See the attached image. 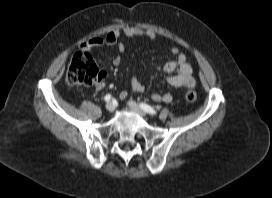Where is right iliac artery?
I'll return each mask as SVG.
<instances>
[{"mask_svg":"<svg viewBox=\"0 0 272 198\" xmlns=\"http://www.w3.org/2000/svg\"><path fill=\"white\" fill-rule=\"evenodd\" d=\"M104 99L106 102H109L112 99V96L110 94H107Z\"/></svg>","mask_w":272,"mask_h":198,"instance_id":"1","label":"right iliac artery"}]
</instances>
